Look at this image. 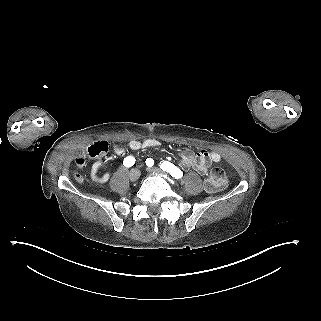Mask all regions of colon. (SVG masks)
<instances>
[{"label": "colon", "mask_w": 321, "mask_h": 321, "mask_svg": "<svg viewBox=\"0 0 321 321\" xmlns=\"http://www.w3.org/2000/svg\"><path fill=\"white\" fill-rule=\"evenodd\" d=\"M82 162L78 164L81 165ZM78 178L81 176L79 174L76 175ZM227 177L225 171L220 167L213 168L208 176L205 179V188L209 192H215L223 189L226 186Z\"/></svg>", "instance_id": "obj_1"}]
</instances>
